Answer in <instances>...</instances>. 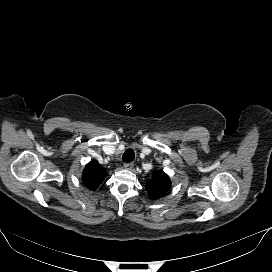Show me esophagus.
<instances>
[{"instance_id": "obj_1", "label": "esophagus", "mask_w": 272, "mask_h": 272, "mask_svg": "<svg viewBox=\"0 0 272 272\" xmlns=\"http://www.w3.org/2000/svg\"><path fill=\"white\" fill-rule=\"evenodd\" d=\"M133 166H134L133 162H129V163L124 164V168L126 170H131L133 168Z\"/></svg>"}]
</instances>
